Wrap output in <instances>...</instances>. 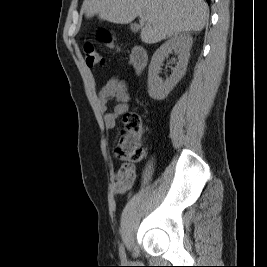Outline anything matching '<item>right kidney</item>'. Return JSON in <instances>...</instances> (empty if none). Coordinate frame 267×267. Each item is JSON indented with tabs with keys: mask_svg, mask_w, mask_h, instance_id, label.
<instances>
[{
	"mask_svg": "<svg viewBox=\"0 0 267 267\" xmlns=\"http://www.w3.org/2000/svg\"><path fill=\"white\" fill-rule=\"evenodd\" d=\"M192 44L193 39L189 34H179L167 40L155 51L148 71V93L152 99H165L185 75ZM173 52L178 55L177 65L170 77L163 81L159 77L161 66L165 57Z\"/></svg>",
	"mask_w": 267,
	"mask_h": 267,
	"instance_id": "obj_1",
	"label": "right kidney"
}]
</instances>
